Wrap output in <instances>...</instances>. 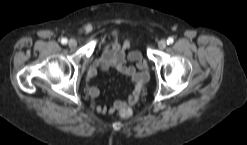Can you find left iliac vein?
I'll return each mask as SVG.
<instances>
[{
  "label": "left iliac vein",
  "instance_id": "left-iliac-vein-1",
  "mask_svg": "<svg viewBox=\"0 0 247 145\" xmlns=\"http://www.w3.org/2000/svg\"><path fill=\"white\" fill-rule=\"evenodd\" d=\"M166 46H167V42L164 40V39H162V40H160L159 42H158V48L159 49H165L166 48Z\"/></svg>",
  "mask_w": 247,
  "mask_h": 145
}]
</instances>
